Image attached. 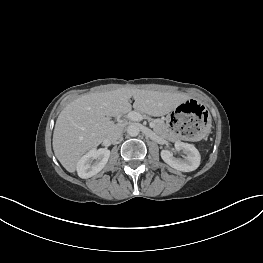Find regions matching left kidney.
Instances as JSON below:
<instances>
[{
    "label": "left kidney",
    "mask_w": 263,
    "mask_h": 263,
    "mask_svg": "<svg viewBox=\"0 0 263 263\" xmlns=\"http://www.w3.org/2000/svg\"><path fill=\"white\" fill-rule=\"evenodd\" d=\"M175 148L179 151L182 150L186 156L184 158H176L169 150H162L161 158L165 163L182 172L194 171L199 167L201 157L194 145L176 141Z\"/></svg>",
    "instance_id": "5707ae66"
}]
</instances>
